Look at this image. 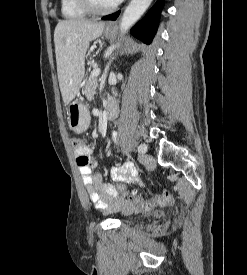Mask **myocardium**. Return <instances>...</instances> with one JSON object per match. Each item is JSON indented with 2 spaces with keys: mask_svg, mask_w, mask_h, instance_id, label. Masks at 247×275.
<instances>
[{
  "mask_svg": "<svg viewBox=\"0 0 247 275\" xmlns=\"http://www.w3.org/2000/svg\"><path fill=\"white\" fill-rule=\"evenodd\" d=\"M77 5L84 10L86 13L91 15H106L113 12L117 7L119 2L115 3L109 8H98L94 5L92 0H75Z\"/></svg>",
  "mask_w": 247,
  "mask_h": 275,
  "instance_id": "myocardium-1",
  "label": "myocardium"
}]
</instances>
